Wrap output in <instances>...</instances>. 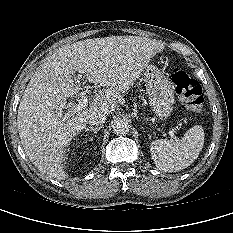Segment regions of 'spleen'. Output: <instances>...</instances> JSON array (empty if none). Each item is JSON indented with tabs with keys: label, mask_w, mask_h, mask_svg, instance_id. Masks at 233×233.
<instances>
[{
	"label": "spleen",
	"mask_w": 233,
	"mask_h": 233,
	"mask_svg": "<svg viewBox=\"0 0 233 233\" xmlns=\"http://www.w3.org/2000/svg\"><path fill=\"white\" fill-rule=\"evenodd\" d=\"M204 145L201 125L190 128L179 142L155 140L150 145L152 159L159 170L176 172L190 166L199 156Z\"/></svg>",
	"instance_id": "obj_1"
}]
</instances>
